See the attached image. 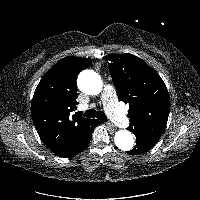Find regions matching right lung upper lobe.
Wrapping results in <instances>:
<instances>
[{
  "mask_svg": "<svg viewBox=\"0 0 200 200\" xmlns=\"http://www.w3.org/2000/svg\"><path fill=\"white\" fill-rule=\"evenodd\" d=\"M92 63L87 58L68 56L56 63L41 79L31 103V115L43 143L56 155L72 152L93 119L76 109V79Z\"/></svg>",
  "mask_w": 200,
  "mask_h": 200,
  "instance_id": "1",
  "label": "right lung upper lobe"
}]
</instances>
